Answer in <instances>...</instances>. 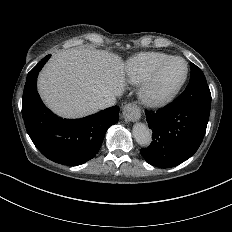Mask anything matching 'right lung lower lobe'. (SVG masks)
<instances>
[{"mask_svg":"<svg viewBox=\"0 0 232 232\" xmlns=\"http://www.w3.org/2000/svg\"><path fill=\"white\" fill-rule=\"evenodd\" d=\"M50 56H45L27 75L23 120L31 140L45 157L63 165H80L97 154L107 129L118 122L119 107L74 120L53 114L42 103L36 87L38 73Z\"/></svg>","mask_w":232,"mask_h":232,"instance_id":"1","label":"right lung lower lobe"}]
</instances>
